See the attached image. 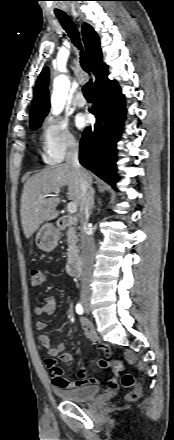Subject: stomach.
<instances>
[{
	"instance_id": "0dacf381",
	"label": "stomach",
	"mask_w": 174,
	"mask_h": 440,
	"mask_svg": "<svg viewBox=\"0 0 174 440\" xmlns=\"http://www.w3.org/2000/svg\"><path fill=\"white\" fill-rule=\"evenodd\" d=\"M60 239V231L50 223L44 224L36 234L35 243L45 252L54 250Z\"/></svg>"
}]
</instances>
